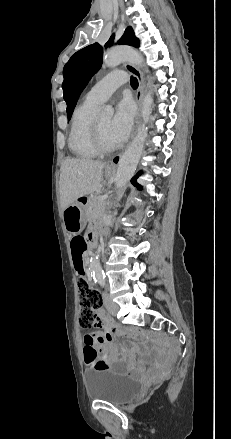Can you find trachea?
I'll return each mask as SVG.
<instances>
[{
    "instance_id": "obj_1",
    "label": "trachea",
    "mask_w": 231,
    "mask_h": 439,
    "mask_svg": "<svg viewBox=\"0 0 231 439\" xmlns=\"http://www.w3.org/2000/svg\"><path fill=\"white\" fill-rule=\"evenodd\" d=\"M130 83H131L132 88H137L138 87V80H137L136 77H131Z\"/></svg>"
}]
</instances>
